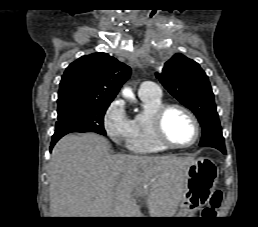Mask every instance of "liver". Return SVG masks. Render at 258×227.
Here are the masks:
<instances>
[{"label": "liver", "instance_id": "liver-1", "mask_svg": "<svg viewBox=\"0 0 258 227\" xmlns=\"http://www.w3.org/2000/svg\"><path fill=\"white\" fill-rule=\"evenodd\" d=\"M192 157L109 154L97 134H69L55 145L49 163L51 217H173L181 201L184 171Z\"/></svg>", "mask_w": 258, "mask_h": 227}]
</instances>
